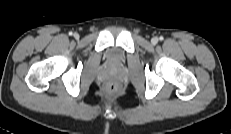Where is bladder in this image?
<instances>
[{
    "label": "bladder",
    "instance_id": "obj_1",
    "mask_svg": "<svg viewBox=\"0 0 231 134\" xmlns=\"http://www.w3.org/2000/svg\"><path fill=\"white\" fill-rule=\"evenodd\" d=\"M108 59L113 63H121L124 60V55L120 50L112 48L108 51Z\"/></svg>",
    "mask_w": 231,
    "mask_h": 134
}]
</instances>
